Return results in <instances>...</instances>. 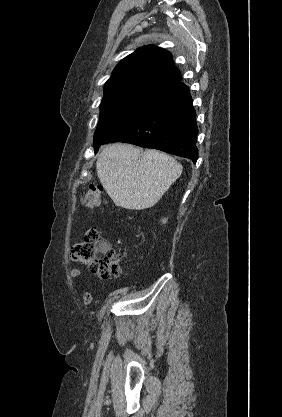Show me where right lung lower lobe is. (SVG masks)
I'll return each mask as SVG.
<instances>
[{
    "label": "right lung lower lobe",
    "mask_w": 282,
    "mask_h": 417,
    "mask_svg": "<svg viewBox=\"0 0 282 417\" xmlns=\"http://www.w3.org/2000/svg\"><path fill=\"white\" fill-rule=\"evenodd\" d=\"M195 116L189 89L180 81L159 93L154 101L101 144L127 142L189 158L196 163L198 129Z\"/></svg>",
    "instance_id": "obj_1"
}]
</instances>
